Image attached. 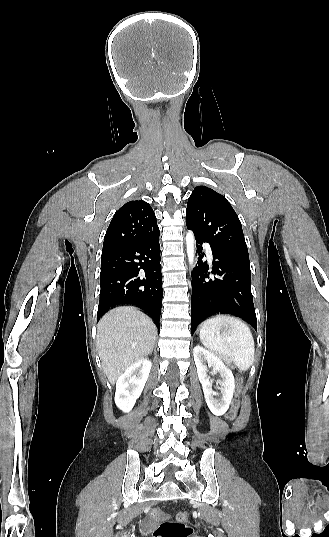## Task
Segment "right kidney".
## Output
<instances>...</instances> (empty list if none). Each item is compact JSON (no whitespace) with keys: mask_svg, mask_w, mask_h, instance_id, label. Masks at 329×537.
<instances>
[{"mask_svg":"<svg viewBox=\"0 0 329 537\" xmlns=\"http://www.w3.org/2000/svg\"><path fill=\"white\" fill-rule=\"evenodd\" d=\"M151 369L147 358L130 365L116 383L115 403L123 412H130L141 395Z\"/></svg>","mask_w":329,"mask_h":537,"instance_id":"obj_1","label":"right kidney"}]
</instances>
